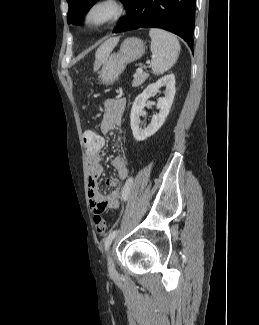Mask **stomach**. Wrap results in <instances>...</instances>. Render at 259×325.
Masks as SVG:
<instances>
[{
  "label": "stomach",
  "mask_w": 259,
  "mask_h": 325,
  "mask_svg": "<svg viewBox=\"0 0 259 325\" xmlns=\"http://www.w3.org/2000/svg\"><path fill=\"white\" fill-rule=\"evenodd\" d=\"M145 51L143 41L136 37L125 39L117 53L109 55L103 63L100 71L101 82L104 85H112L127 64L132 63L142 57Z\"/></svg>",
  "instance_id": "0dacf381"
}]
</instances>
